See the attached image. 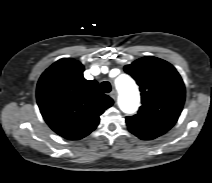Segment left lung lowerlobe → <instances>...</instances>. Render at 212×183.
<instances>
[{"instance_id":"left-lung-lower-lobe-1","label":"left lung lower lobe","mask_w":212,"mask_h":183,"mask_svg":"<svg viewBox=\"0 0 212 183\" xmlns=\"http://www.w3.org/2000/svg\"><path fill=\"white\" fill-rule=\"evenodd\" d=\"M138 136L139 138L143 139V140H150V139H154L152 137H145V136H141V135H136Z\"/></svg>"}]
</instances>
